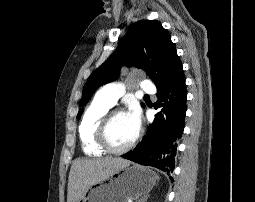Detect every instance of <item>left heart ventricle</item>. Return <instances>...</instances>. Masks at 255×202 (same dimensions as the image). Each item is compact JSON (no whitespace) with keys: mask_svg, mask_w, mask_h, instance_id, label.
I'll list each match as a JSON object with an SVG mask.
<instances>
[{"mask_svg":"<svg viewBox=\"0 0 255 202\" xmlns=\"http://www.w3.org/2000/svg\"><path fill=\"white\" fill-rule=\"evenodd\" d=\"M137 131L125 113L118 114L113 118L109 127L110 143L116 148L123 147L134 138Z\"/></svg>","mask_w":255,"mask_h":202,"instance_id":"left-heart-ventricle-1","label":"left heart ventricle"}]
</instances>
